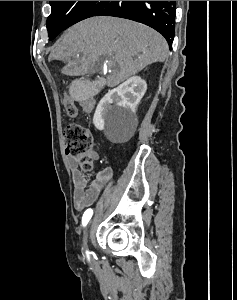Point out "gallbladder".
<instances>
[{
  "label": "gallbladder",
  "mask_w": 237,
  "mask_h": 300,
  "mask_svg": "<svg viewBox=\"0 0 237 300\" xmlns=\"http://www.w3.org/2000/svg\"><path fill=\"white\" fill-rule=\"evenodd\" d=\"M100 80V79H98ZM74 87L69 88V93L75 101H82L83 99H90L91 94H99L101 92L102 84L100 82H88L87 76H77Z\"/></svg>",
  "instance_id": "obj_1"
}]
</instances>
